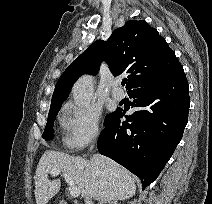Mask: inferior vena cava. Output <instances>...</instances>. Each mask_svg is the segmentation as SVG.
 Instances as JSON below:
<instances>
[{
  "label": "inferior vena cava",
  "mask_w": 212,
  "mask_h": 204,
  "mask_svg": "<svg viewBox=\"0 0 212 204\" xmlns=\"http://www.w3.org/2000/svg\"><path fill=\"white\" fill-rule=\"evenodd\" d=\"M93 146H94V145H92V146L90 147V150H92ZM85 203H86V204H93L91 198H86V199H85Z\"/></svg>",
  "instance_id": "602c4592"
}]
</instances>
